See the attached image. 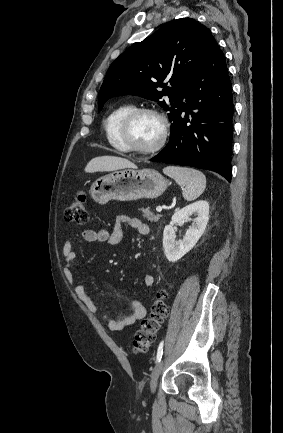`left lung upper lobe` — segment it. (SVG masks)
<instances>
[{
    "label": "left lung upper lobe",
    "instance_id": "5c2ea615",
    "mask_svg": "<svg viewBox=\"0 0 283 433\" xmlns=\"http://www.w3.org/2000/svg\"><path fill=\"white\" fill-rule=\"evenodd\" d=\"M215 44L207 27L193 18L166 23L111 64L99 91L98 109L118 95L133 94L153 101L168 96L170 103L158 104L170 111L171 122L177 120L187 105L182 102L187 87Z\"/></svg>",
    "mask_w": 283,
    "mask_h": 433
}]
</instances>
